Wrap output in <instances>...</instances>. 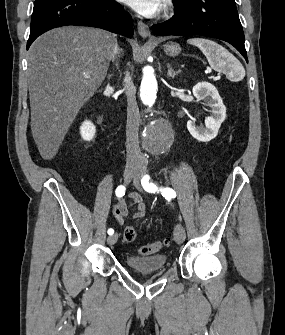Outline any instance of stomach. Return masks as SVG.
Here are the masks:
<instances>
[{"label": "stomach", "mask_w": 285, "mask_h": 335, "mask_svg": "<svg viewBox=\"0 0 285 335\" xmlns=\"http://www.w3.org/2000/svg\"><path fill=\"white\" fill-rule=\"evenodd\" d=\"M164 52L167 56H179L181 48L175 42H168V44H164Z\"/></svg>", "instance_id": "obj_1"}]
</instances>
